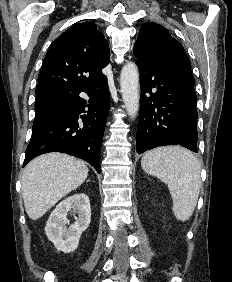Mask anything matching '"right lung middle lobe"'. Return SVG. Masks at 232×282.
<instances>
[{"mask_svg": "<svg viewBox=\"0 0 232 282\" xmlns=\"http://www.w3.org/2000/svg\"><path fill=\"white\" fill-rule=\"evenodd\" d=\"M35 119L38 121L55 111L68 98L59 92H36Z\"/></svg>", "mask_w": 232, "mask_h": 282, "instance_id": "dd1d6c3e", "label": "right lung middle lobe"}]
</instances>
